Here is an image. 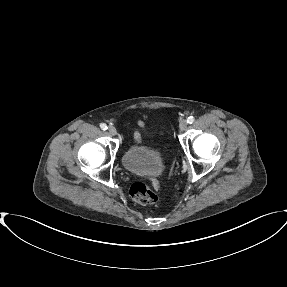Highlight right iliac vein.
<instances>
[{
    "mask_svg": "<svg viewBox=\"0 0 287 287\" xmlns=\"http://www.w3.org/2000/svg\"><path fill=\"white\" fill-rule=\"evenodd\" d=\"M108 133H109L111 136H115V135L117 134V131H116L115 127L110 126V127L108 128Z\"/></svg>",
    "mask_w": 287,
    "mask_h": 287,
    "instance_id": "1",
    "label": "right iliac vein"
}]
</instances>
